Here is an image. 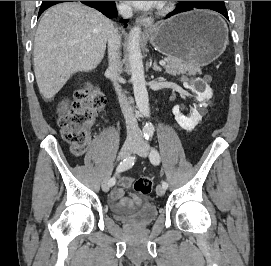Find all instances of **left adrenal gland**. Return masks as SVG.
Instances as JSON below:
<instances>
[{
  "instance_id": "1",
  "label": "left adrenal gland",
  "mask_w": 271,
  "mask_h": 266,
  "mask_svg": "<svg viewBox=\"0 0 271 266\" xmlns=\"http://www.w3.org/2000/svg\"><path fill=\"white\" fill-rule=\"evenodd\" d=\"M152 62H150V64H151ZM153 70L155 71V72H161L162 71V69L157 65V63L156 62H154V64H153Z\"/></svg>"
}]
</instances>
